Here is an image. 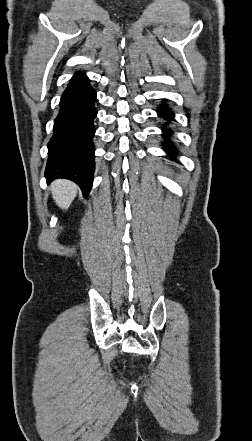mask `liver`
<instances>
[{
    "mask_svg": "<svg viewBox=\"0 0 252 441\" xmlns=\"http://www.w3.org/2000/svg\"><path fill=\"white\" fill-rule=\"evenodd\" d=\"M77 185L69 180L57 179L51 186L53 199L56 204L63 210H66L77 194Z\"/></svg>",
    "mask_w": 252,
    "mask_h": 441,
    "instance_id": "liver-1",
    "label": "liver"
}]
</instances>
